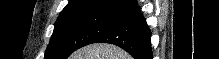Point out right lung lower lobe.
I'll use <instances>...</instances> for the list:
<instances>
[{"mask_svg":"<svg viewBox=\"0 0 219 59\" xmlns=\"http://www.w3.org/2000/svg\"><path fill=\"white\" fill-rule=\"evenodd\" d=\"M126 16L120 24L99 36L93 43H110L127 51L134 59H152L151 32L134 0H127L114 8Z\"/></svg>","mask_w":219,"mask_h":59,"instance_id":"98d812e1","label":"right lung lower lobe"}]
</instances>
